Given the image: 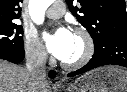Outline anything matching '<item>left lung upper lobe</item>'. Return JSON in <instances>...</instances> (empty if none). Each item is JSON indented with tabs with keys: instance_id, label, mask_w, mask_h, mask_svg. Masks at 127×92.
Returning a JSON list of instances; mask_svg holds the SVG:
<instances>
[{
	"instance_id": "left-lung-upper-lobe-1",
	"label": "left lung upper lobe",
	"mask_w": 127,
	"mask_h": 92,
	"mask_svg": "<svg viewBox=\"0 0 127 92\" xmlns=\"http://www.w3.org/2000/svg\"><path fill=\"white\" fill-rule=\"evenodd\" d=\"M70 11L88 30L97 48L108 38H127V12L124 0H66ZM80 13V15L78 14Z\"/></svg>"
}]
</instances>
